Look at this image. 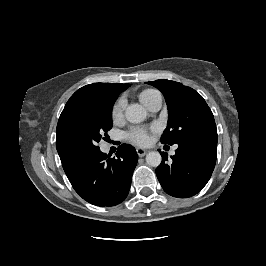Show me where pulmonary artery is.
<instances>
[{
    "label": "pulmonary artery",
    "mask_w": 266,
    "mask_h": 266,
    "mask_svg": "<svg viewBox=\"0 0 266 266\" xmlns=\"http://www.w3.org/2000/svg\"><path fill=\"white\" fill-rule=\"evenodd\" d=\"M162 106V97L161 95L155 98L151 104L148 106V109L152 112L158 111ZM176 147L173 148L172 153H174Z\"/></svg>",
    "instance_id": "pulmonary-artery-1"
}]
</instances>
